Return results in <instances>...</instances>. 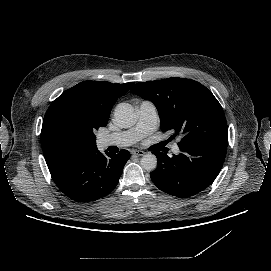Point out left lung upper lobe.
<instances>
[{
  "instance_id": "5c2ea615",
  "label": "left lung upper lobe",
  "mask_w": 271,
  "mask_h": 271,
  "mask_svg": "<svg viewBox=\"0 0 271 271\" xmlns=\"http://www.w3.org/2000/svg\"><path fill=\"white\" fill-rule=\"evenodd\" d=\"M131 91L155 104L163 132L174 130L175 135L183 136L178 146H197L206 141L228 143L223 109L199 82L172 77L136 83Z\"/></svg>"
}]
</instances>
